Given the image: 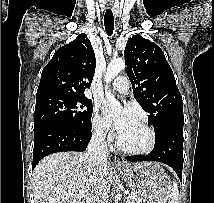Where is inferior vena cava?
<instances>
[{
    "mask_svg": "<svg viewBox=\"0 0 214 203\" xmlns=\"http://www.w3.org/2000/svg\"><path fill=\"white\" fill-rule=\"evenodd\" d=\"M106 129L100 128L94 132L85 153L89 165L95 168L93 178L97 179L98 184L95 188V194L90 203H108V188L104 183L105 171L102 169L107 164L109 156L106 143Z\"/></svg>",
    "mask_w": 214,
    "mask_h": 203,
    "instance_id": "1",
    "label": "inferior vena cava"
}]
</instances>
